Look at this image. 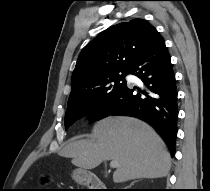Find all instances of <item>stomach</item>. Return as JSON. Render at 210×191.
<instances>
[{"label": "stomach", "instance_id": "0dacf381", "mask_svg": "<svg viewBox=\"0 0 210 191\" xmlns=\"http://www.w3.org/2000/svg\"><path fill=\"white\" fill-rule=\"evenodd\" d=\"M73 178L81 185H87L91 179V174L83 169H77L73 172Z\"/></svg>", "mask_w": 210, "mask_h": 191}]
</instances>
